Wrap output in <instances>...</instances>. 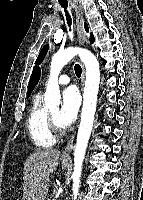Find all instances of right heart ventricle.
Masks as SVG:
<instances>
[{"mask_svg": "<svg viewBox=\"0 0 143 200\" xmlns=\"http://www.w3.org/2000/svg\"><path fill=\"white\" fill-rule=\"evenodd\" d=\"M48 113L42 104L41 94L37 93L28 112L27 130L32 143L39 148H49L55 144V137L48 123Z\"/></svg>", "mask_w": 143, "mask_h": 200, "instance_id": "right-heart-ventricle-1", "label": "right heart ventricle"}]
</instances>
